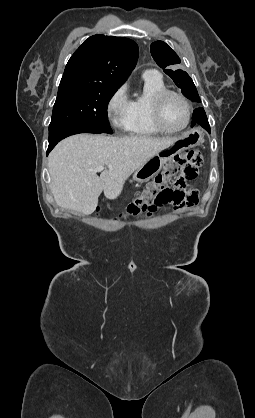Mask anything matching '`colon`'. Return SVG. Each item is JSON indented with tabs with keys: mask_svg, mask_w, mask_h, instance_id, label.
I'll return each instance as SVG.
<instances>
[{
	"mask_svg": "<svg viewBox=\"0 0 255 418\" xmlns=\"http://www.w3.org/2000/svg\"><path fill=\"white\" fill-rule=\"evenodd\" d=\"M202 162L203 157L199 150L188 151L170 160L164 172L147 184L120 217L135 218L143 214L150 215L167 204L175 207L196 204L198 191L191 187L190 182L198 176ZM170 179L174 180L176 189L166 186V182Z\"/></svg>",
	"mask_w": 255,
	"mask_h": 418,
	"instance_id": "obj_1",
	"label": "colon"
}]
</instances>
